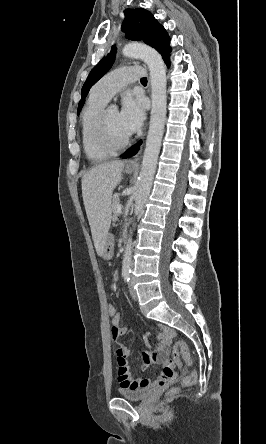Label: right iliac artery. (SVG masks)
<instances>
[{
    "label": "right iliac artery",
    "mask_w": 266,
    "mask_h": 444,
    "mask_svg": "<svg viewBox=\"0 0 266 444\" xmlns=\"http://www.w3.org/2000/svg\"><path fill=\"white\" fill-rule=\"evenodd\" d=\"M123 278H124V281H125V282H129V281H130V274H128V273H124V274H123Z\"/></svg>",
    "instance_id": "right-iliac-artery-1"
}]
</instances>
